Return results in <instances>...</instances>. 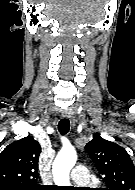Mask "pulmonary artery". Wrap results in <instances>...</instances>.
<instances>
[{
	"mask_svg": "<svg viewBox=\"0 0 135 190\" xmlns=\"http://www.w3.org/2000/svg\"><path fill=\"white\" fill-rule=\"evenodd\" d=\"M71 179L78 185H87L90 180L88 169L84 165H77L71 172Z\"/></svg>",
	"mask_w": 135,
	"mask_h": 190,
	"instance_id": "e3ab8cb5",
	"label": "pulmonary artery"
}]
</instances>
